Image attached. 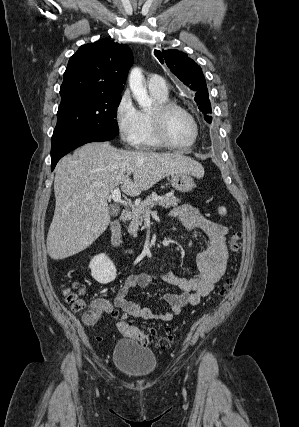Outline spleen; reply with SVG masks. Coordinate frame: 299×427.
<instances>
[{"label":"spleen","instance_id":"spleen-1","mask_svg":"<svg viewBox=\"0 0 299 427\" xmlns=\"http://www.w3.org/2000/svg\"><path fill=\"white\" fill-rule=\"evenodd\" d=\"M218 212H219L220 215H226L227 210H226L225 207L221 206V207L218 208Z\"/></svg>","mask_w":299,"mask_h":427}]
</instances>
